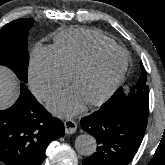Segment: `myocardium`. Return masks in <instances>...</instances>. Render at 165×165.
Returning <instances> with one entry per match:
<instances>
[{
    "label": "myocardium",
    "mask_w": 165,
    "mask_h": 165,
    "mask_svg": "<svg viewBox=\"0 0 165 165\" xmlns=\"http://www.w3.org/2000/svg\"><path fill=\"white\" fill-rule=\"evenodd\" d=\"M110 52L121 53L124 57L123 65L121 69L118 71V73L113 77V79L106 86L104 91L98 97L92 100L86 101V104L89 106L101 105L113 95V93L116 91V89L119 87V85L123 81L125 74L127 72L128 65H129L128 54L126 53L124 49H122L118 45L96 48L93 51H91L79 64H77L70 74L71 84L74 86L80 74H82L84 71L89 69L101 55L110 53Z\"/></svg>",
    "instance_id": "obj_1"
}]
</instances>
